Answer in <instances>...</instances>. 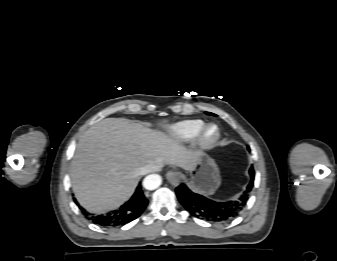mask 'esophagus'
<instances>
[{
    "label": "esophagus",
    "mask_w": 337,
    "mask_h": 261,
    "mask_svg": "<svg viewBox=\"0 0 337 261\" xmlns=\"http://www.w3.org/2000/svg\"><path fill=\"white\" fill-rule=\"evenodd\" d=\"M166 178L173 186H178L181 181V174L178 171H168Z\"/></svg>",
    "instance_id": "obj_1"
}]
</instances>
